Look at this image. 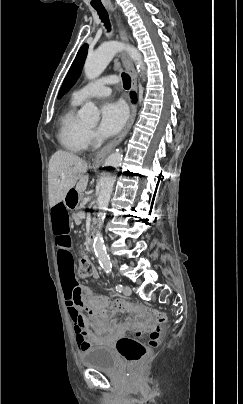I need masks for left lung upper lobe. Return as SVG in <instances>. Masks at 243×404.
Returning <instances> with one entry per match:
<instances>
[{"instance_id": "1", "label": "left lung upper lobe", "mask_w": 243, "mask_h": 404, "mask_svg": "<svg viewBox=\"0 0 243 404\" xmlns=\"http://www.w3.org/2000/svg\"><path fill=\"white\" fill-rule=\"evenodd\" d=\"M88 45L84 44L78 51L65 79L60 88L58 98H61L75 84L80 76L84 61L87 56Z\"/></svg>"}]
</instances>
